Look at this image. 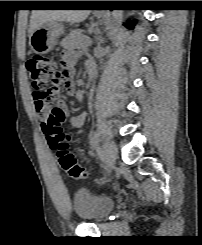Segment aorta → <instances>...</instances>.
I'll return each instance as SVG.
<instances>
[{
	"instance_id": "1",
	"label": "aorta",
	"mask_w": 202,
	"mask_h": 245,
	"mask_svg": "<svg viewBox=\"0 0 202 245\" xmlns=\"http://www.w3.org/2000/svg\"><path fill=\"white\" fill-rule=\"evenodd\" d=\"M122 19H123V10H113L112 17H111V28L119 26Z\"/></svg>"
}]
</instances>
